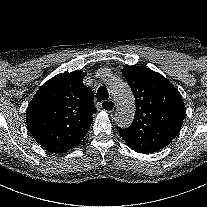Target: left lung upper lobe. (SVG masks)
Masks as SVG:
<instances>
[{"instance_id": "1", "label": "left lung upper lobe", "mask_w": 207, "mask_h": 207, "mask_svg": "<svg viewBox=\"0 0 207 207\" xmlns=\"http://www.w3.org/2000/svg\"><path fill=\"white\" fill-rule=\"evenodd\" d=\"M122 74L135 97L130 127H117L126 144L139 153H153L179 133L186 115L180 92L163 75L146 67L128 66Z\"/></svg>"}]
</instances>
